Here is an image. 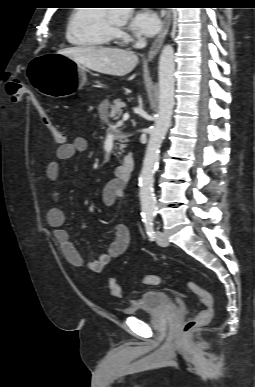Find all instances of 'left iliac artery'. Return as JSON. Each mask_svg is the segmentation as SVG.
<instances>
[{
	"label": "left iliac artery",
	"mask_w": 255,
	"mask_h": 387,
	"mask_svg": "<svg viewBox=\"0 0 255 387\" xmlns=\"http://www.w3.org/2000/svg\"><path fill=\"white\" fill-rule=\"evenodd\" d=\"M145 231L149 237L150 240H153L155 238V232H154V223L152 217H146L143 219Z\"/></svg>",
	"instance_id": "left-iliac-artery-1"
}]
</instances>
